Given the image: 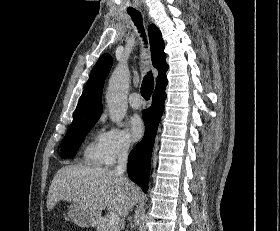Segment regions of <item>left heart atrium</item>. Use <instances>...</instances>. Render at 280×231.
I'll use <instances>...</instances> for the list:
<instances>
[{"instance_id": "39dd6f15", "label": "left heart atrium", "mask_w": 280, "mask_h": 231, "mask_svg": "<svg viewBox=\"0 0 280 231\" xmlns=\"http://www.w3.org/2000/svg\"><path fill=\"white\" fill-rule=\"evenodd\" d=\"M128 131L133 141H138L143 137L145 126L143 120L138 115H133L129 118Z\"/></svg>"}]
</instances>
